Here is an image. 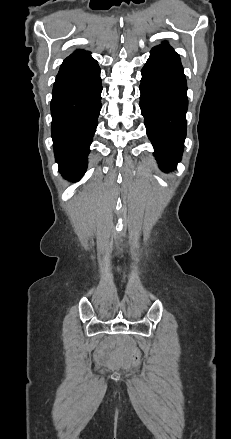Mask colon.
Masks as SVG:
<instances>
[{
	"mask_svg": "<svg viewBox=\"0 0 231 439\" xmlns=\"http://www.w3.org/2000/svg\"><path fill=\"white\" fill-rule=\"evenodd\" d=\"M140 360H141V353L136 346H133L131 348V363L134 366H138L140 364Z\"/></svg>",
	"mask_w": 231,
	"mask_h": 439,
	"instance_id": "5ec220e1",
	"label": "colon"
}]
</instances>
